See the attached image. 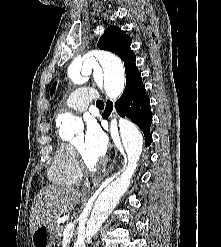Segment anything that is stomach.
Here are the masks:
<instances>
[{
	"mask_svg": "<svg viewBox=\"0 0 221 247\" xmlns=\"http://www.w3.org/2000/svg\"><path fill=\"white\" fill-rule=\"evenodd\" d=\"M52 226V223L45 224L32 232L31 237L33 247H52L55 238Z\"/></svg>",
	"mask_w": 221,
	"mask_h": 247,
	"instance_id": "0dacf381",
	"label": "stomach"
}]
</instances>
